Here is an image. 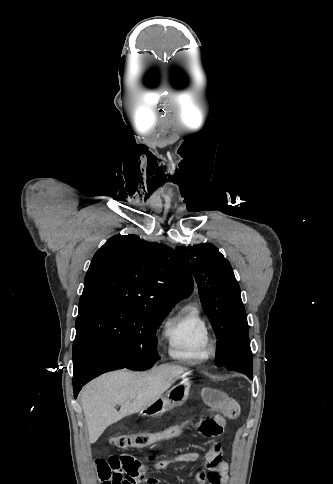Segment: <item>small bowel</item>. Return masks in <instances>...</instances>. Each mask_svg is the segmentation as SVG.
I'll list each match as a JSON object with an SVG mask.
<instances>
[{
  "label": "small bowel",
  "mask_w": 333,
  "mask_h": 484,
  "mask_svg": "<svg viewBox=\"0 0 333 484\" xmlns=\"http://www.w3.org/2000/svg\"><path fill=\"white\" fill-rule=\"evenodd\" d=\"M200 396L212 409L213 415L211 418L201 420L192 429L207 438H216L225 430L227 419H234L239 415V405L227 394L207 387L200 390ZM205 456L207 458L206 470L200 472L198 484H227V464L217 445L212 444ZM200 459L201 454L197 452L175 457L177 461L191 463H198ZM163 464L164 462L159 463L155 467V472L160 471ZM97 465L108 471L111 484H156L158 482L154 475L146 472L141 461L129 453L100 459L97 461Z\"/></svg>",
  "instance_id": "1"
}]
</instances>
